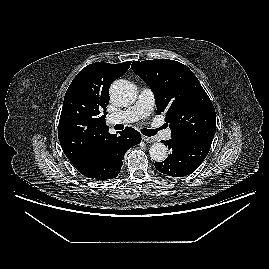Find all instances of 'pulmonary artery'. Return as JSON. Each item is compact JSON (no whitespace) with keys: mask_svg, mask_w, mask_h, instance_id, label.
<instances>
[{"mask_svg":"<svg viewBox=\"0 0 269 269\" xmlns=\"http://www.w3.org/2000/svg\"><path fill=\"white\" fill-rule=\"evenodd\" d=\"M155 98L154 94L150 89H143L136 101V103L131 106L129 109L116 114V115H110L108 117V122L110 124H119V123H132L135 122L141 118H144L148 116L154 106ZM162 137L164 139H170L171 138V130L167 129L162 132Z\"/></svg>","mask_w":269,"mask_h":269,"instance_id":"1","label":"pulmonary artery"}]
</instances>
